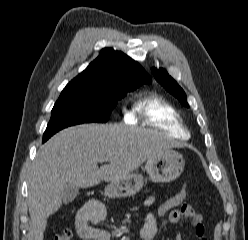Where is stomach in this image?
Segmentation results:
<instances>
[{
  "mask_svg": "<svg viewBox=\"0 0 248 240\" xmlns=\"http://www.w3.org/2000/svg\"><path fill=\"white\" fill-rule=\"evenodd\" d=\"M185 161L182 154L166 150L147 160L145 169L154 182L166 183L175 180L182 173ZM142 175L134 173L127 177L110 182L104 191L109 198L130 197L139 192L144 186Z\"/></svg>",
  "mask_w": 248,
  "mask_h": 240,
  "instance_id": "0dacf381",
  "label": "stomach"
}]
</instances>
